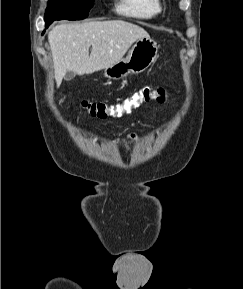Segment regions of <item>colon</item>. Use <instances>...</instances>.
Wrapping results in <instances>:
<instances>
[{
    "label": "colon",
    "mask_w": 243,
    "mask_h": 289,
    "mask_svg": "<svg viewBox=\"0 0 243 289\" xmlns=\"http://www.w3.org/2000/svg\"><path fill=\"white\" fill-rule=\"evenodd\" d=\"M167 98L168 95L164 88L143 87L114 104L82 100L80 105L87 110L88 113L97 118H120L131 114L133 110L140 107L143 103L153 100L162 103L165 102Z\"/></svg>",
    "instance_id": "colon-1"
}]
</instances>
